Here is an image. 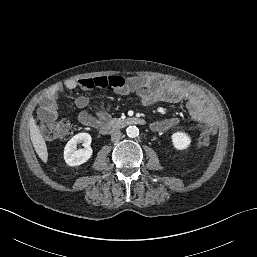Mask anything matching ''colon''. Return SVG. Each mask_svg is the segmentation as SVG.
Returning <instances> with one entry per match:
<instances>
[{"mask_svg":"<svg viewBox=\"0 0 257 257\" xmlns=\"http://www.w3.org/2000/svg\"><path fill=\"white\" fill-rule=\"evenodd\" d=\"M38 125L41 133L45 139L49 141H62L68 139L73 133V127L68 120H50L39 121ZM201 134L197 140V145L204 148L210 143V136L212 134L211 126L208 123H203L201 126Z\"/></svg>","mask_w":257,"mask_h":257,"instance_id":"5ec220e1","label":"colon"}]
</instances>
